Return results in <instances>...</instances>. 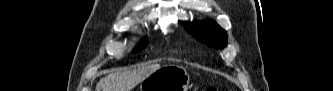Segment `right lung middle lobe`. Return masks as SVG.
Returning <instances> with one entry per match:
<instances>
[{
  "mask_svg": "<svg viewBox=\"0 0 333 91\" xmlns=\"http://www.w3.org/2000/svg\"><path fill=\"white\" fill-rule=\"evenodd\" d=\"M148 44L147 40H142V42L135 48V52H139L141 50H143Z\"/></svg>",
  "mask_w": 333,
  "mask_h": 91,
  "instance_id": "obj_1",
  "label": "right lung middle lobe"
}]
</instances>
